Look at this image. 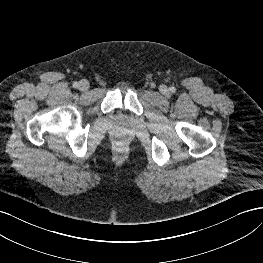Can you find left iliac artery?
<instances>
[{"mask_svg":"<svg viewBox=\"0 0 263 263\" xmlns=\"http://www.w3.org/2000/svg\"><path fill=\"white\" fill-rule=\"evenodd\" d=\"M170 91H171L172 93H174V92L176 91V89H175L174 87H171V88H170Z\"/></svg>","mask_w":263,"mask_h":263,"instance_id":"obj_1","label":"left iliac artery"}]
</instances>
